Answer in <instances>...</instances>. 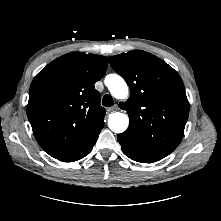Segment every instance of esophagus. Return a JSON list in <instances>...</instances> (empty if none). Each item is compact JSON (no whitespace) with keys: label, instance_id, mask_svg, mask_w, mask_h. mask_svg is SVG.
<instances>
[{"label":"esophagus","instance_id":"34e87169","mask_svg":"<svg viewBox=\"0 0 221 221\" xmlns=\"http://www.w3.org/2000/svg\"><path fill=\"white\" fill-rule=\"evenodd\" d=\"M117 110H118V106H117V105H114V106H112V107H110V108L107 109V111H108L109 113H112V112L117 111Z\"/></svg>","mask_w":221,"mask_h":221}]
</instances>
